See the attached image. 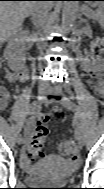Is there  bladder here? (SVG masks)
Instances as JSON below:
<instances>
[{"instance_id": "31cf9c89", "label": "bladder", "mask_w": 104, "mask_h": 189, "mask_svg": "<svg viewBox=\"0 0 104 189\" xmlns=\"http://www.w3.org/2000/svg\"><path fill=\"white\" fill-rule=\"evenodd\" d=\"M78 168L77 163L67 158L49 155L35 167L26 170L25 179L33 185H63Z\"/></svg>"}]
</instances>
